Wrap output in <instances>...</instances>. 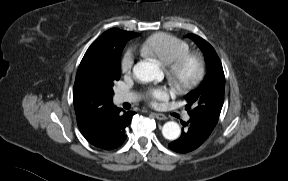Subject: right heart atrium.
<instances>
[{"label": "right heart atrium", "instance_id": "d8ad5b80", "mask_svg": "<svg viewBox=\"0 0 288 181\" xmlns=\"http://www.w3.org/2000/svg\"><path fill=\"white\" fill-rule=\"evenodd\" d=\"M135 56L132 49H128L121 59V70L125 74H130L134 66Z\"/></svg>", "mask_w": 288, "mask_h": 181}]
</instances>
